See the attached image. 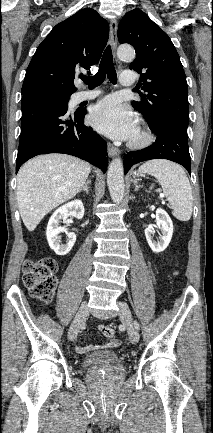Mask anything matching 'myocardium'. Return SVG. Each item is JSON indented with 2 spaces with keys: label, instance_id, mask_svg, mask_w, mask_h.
Segmentation results:
<instances>
[{
  "label": "myocardium",
  "instance_id": "1",
  "mask_svg": "<svg viewBox=\"0 0 213 433\" xmlns=\"http://www.w3.org/2000/svg\"><path fill=\"white\" fill-rule=\"evenodd\" d=\"M154 140L152 132L144 127L139 126L136 129L135 135L130 139L128 146L133 149H141L150 145Z\"/></svg>",
  "mask_w": 213,
  "mask_h": 433
}]
</instances>
